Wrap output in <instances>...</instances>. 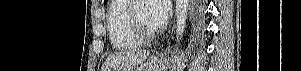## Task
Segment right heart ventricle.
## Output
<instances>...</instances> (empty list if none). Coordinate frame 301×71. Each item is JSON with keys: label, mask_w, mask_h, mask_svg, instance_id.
Masks as SVG:
<instances>
[{"label": "right heart ventricle", "mask_w": 301, "mask_h": 71, "mask_svg": "<svg viewBox=\"0 0 301 71\" xmlns=\"http://www.w3.org/2000/svg\"><path fill=\"white\" fill-rule=\"evenodd\" d=\"M130 0L112 1L107 16V30L111 45L117 50H127L142 44L137 38L128 22V8Z\"/></svg>", "instance_id": "right-heart-ventricle-1"}]
</instances>
